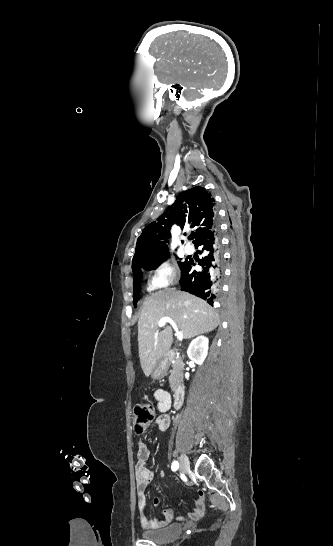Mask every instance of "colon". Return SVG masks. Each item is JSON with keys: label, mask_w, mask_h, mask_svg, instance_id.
<instances>
[{"label": "colon", "mask_w": 333, "mask_h": 546, "mask_svg": "<svg viewBox=\"0 0 333 546\" xmlns=\"http://www.w3.org/2000/svg\"><path fill=\"white\" fill-rule=\"evenodd\" d=\"M155 417V409L146 403H138L133 410V428L137 434H142Z\"/></svg>", "instance_id": "5ec220e1"}]
</instances>
